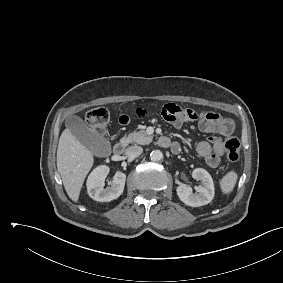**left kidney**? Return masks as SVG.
Listing matches in <instances>:
<instances>
[{
	"mask_svg": "<svg viewBox=\"0 0 283 283\" xmlns=\"http://www.w3.org/2000/svg\"><path fill=\"white\" fill-rule=\"evenodd\" d=\"M192 177L197 181H201V186L196 188V193H193L191 187L185 184L179 185L176 189L179 199L191 207L207 205L215 195L211 175L203 168H196L192 172Z\"/></svg>",
	"mask_w": 283,
	"mask_h": 283,
	"instance_id": "obj_1",
	"label": "left kidney"
}]
</instances>
